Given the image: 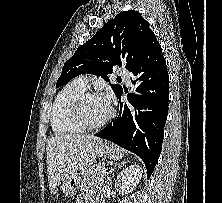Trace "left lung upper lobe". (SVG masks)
I'll list each match as a JSON object with an SVG mask.
<instances>
[{"instance_id":"5c2ea615","label":"left lung upper lobe","mask_w":222,"mask_h":203,"mask_svg":"<svg viewBox=\"0 0 222 203\" xmlns=\"http://www.w3.org/2000/svg\"><path fill=\"white\" fill-rule=\"evenodd\" d=\"M151 32L148 22L137 11L119 13L77 48L64 64L56 87L85 73L100 75L108 82L106 75L112 72L113 65H125L130 71L142 56ZM111 87L117 96L123 90L119 84Z\"/></svg>"}]
</instances>
